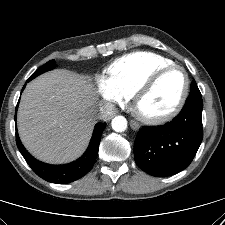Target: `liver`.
<instances>
[{"label": "liver", "instance_id": "obj_1", "mask_svg": "<svg viewBox=\"0 0 225 225\" xmlns=\"http://www.w3.org/2000/svg\"><path fill=\"white\" fill-rule=\"evenodd\" d=\"M98 102L85 77L65 69L46 72L25 88L18 109V132L36 158L61 164L86 149Z\"/></svg>", "mask_w": 225, "mask_h": 225}]
</instances>
